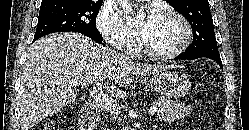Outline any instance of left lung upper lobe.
I'll return each instance as SVG.
<instances>
[{
  "instance_id": "5c2ea615",
  "label": "left lung upper lobe",
  "mask_w": 249,
  "mask_h": 130,
  "mask_svg": "<svg viewBox=\"0 0 249 130\" xmlns=\"http://www.w3.org/2000/svg\"><path fill=\"white\" fill-rule=\"evenodd\" d=\"M190 23L193 42L185 53L219 56L208 0H167Z\"/></svg>"
}]
</instances>
